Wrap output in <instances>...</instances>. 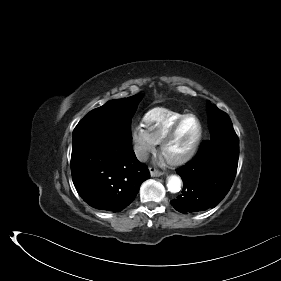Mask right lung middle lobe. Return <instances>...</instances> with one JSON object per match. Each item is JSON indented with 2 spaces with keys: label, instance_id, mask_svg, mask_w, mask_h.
Instances as JSON below:
<instances>
[{
  "label": "right lung middle lobe",
  "instance_id": "dd1d6c3e",
  "mask_svg": "<svg viewBox=\"0 0 281 281\" xmlns=\"http://www.w3.org/2000/svg\"><path fill=\"white\" fill-rule=\"evenodd\" d=\"M141 99L142 95L137 94L110 100L90 111L73 131L72 148L84 143L109 140L131 142V119Z\"/></svg>",
  "mask_w": 281,
  "mask_h": 281
}]
</instances>
